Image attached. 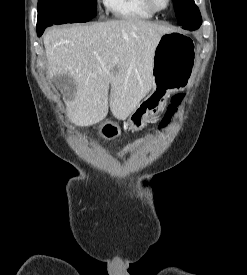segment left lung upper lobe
<instances>
[{"label": "left lung upper lobe", "instance_id": "left-lung-upper-lobe-1", "mask_svg": "<svg viewBox=\"0 0 247 275\" xmlns=\"http://www.w3.org/2000/svg\"><path fill=\"white\" fill-rule=\"evenodd\" d=\"M178 24L186 30H196L202 23V18L194 0H173Z\"/></svg>", "mask_w": 247, "mask_h": 275}]
</instances>
